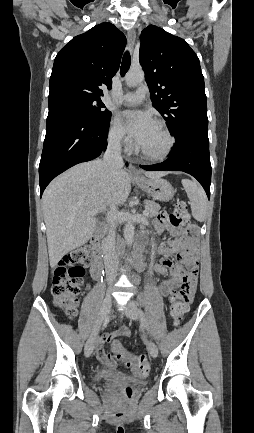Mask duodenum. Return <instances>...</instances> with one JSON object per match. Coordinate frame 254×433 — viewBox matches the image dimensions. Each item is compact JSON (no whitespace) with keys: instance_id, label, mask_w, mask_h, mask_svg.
I'll use <instances>...</instances> for the list:
<instances>
[{"instance_id":"duodenum-1","label":"duodenum","mask_w":254,"mask_h":433,"mask_svg":"<svg viewBox=\"0 0 254 433\" xmlns=\"http://www.w3.org/2000/svg\"><path fill=\"white\" fill-rule=\"evenodd\" d=\"M91 249L93 260L90 267V273L93 278H100L103 269L102 249L99 237H93L91 240Z\"/></svg>"}]
</instances>
